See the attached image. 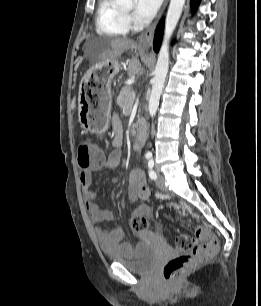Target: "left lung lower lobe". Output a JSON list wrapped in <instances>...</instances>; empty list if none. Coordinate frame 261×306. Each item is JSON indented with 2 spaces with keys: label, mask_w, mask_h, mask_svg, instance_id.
Wrapping results in <instances>:
<instances>
[{
  "label": "left lung lower lobe",
  "mask_w": 261,
  "mask_h": 306,
  "mask_svg": "<svg viewBox=\"0 0 261 306\" xmlns=\"http://www.w3.org/2000/svg\"><path fill=\"white\" fill-rule=\"evenodd\" d=\"M199 2H200V0H191L192 8L195 9L198 6ZM162 31H163V23L160 22L158 27H157L156 33H155L154 50L156 52L159 50V47H160Z\"/></svg>",
  "instance_id": "obj_1"
}]
</instances>
